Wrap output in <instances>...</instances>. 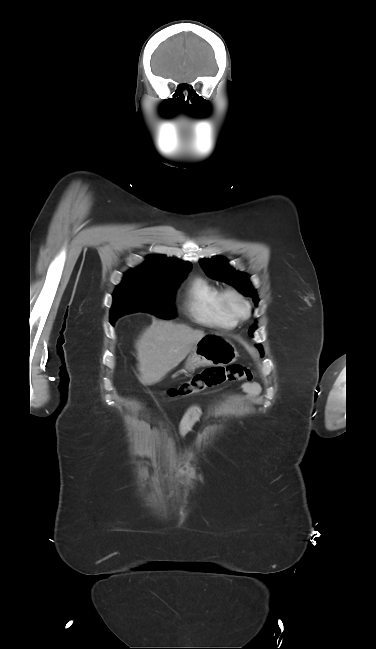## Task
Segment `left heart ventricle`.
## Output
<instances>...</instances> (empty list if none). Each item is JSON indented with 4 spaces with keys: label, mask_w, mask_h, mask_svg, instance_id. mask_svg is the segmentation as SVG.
I'll return each mask as SVG.
<instances>
[{
    "label": "left heart ventricle",
    "mask_w": 376,
    "mask_h": 649,
    "mask_svg": "<svg viewBox=\"0 0 376 649\" xmlns=\"http://www.w3.org/2000/svg\"><path fill=\"white\" fill-rule=\"evenodd\" d=\"M234 306H235L236 308H238V309L241 308V305H240V303H238V302H234Z\"/></svg>",
    "instance_id": "b2bd125f"
}]
</instances>
